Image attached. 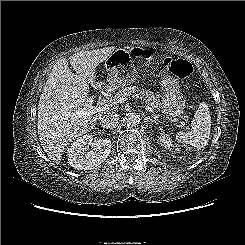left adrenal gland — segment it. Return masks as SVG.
Wrapping results in <instances>:
<instances>
[{"label":"left adrenal gland","mask_w":245,"mask_h":245,"mask_svg":"<svg viewBox=\"0 0 245 245\" xmlns=\"http://www.w3.org/2000/svg\"><path fill=\"white\" fill-rule=\"evenodd\" d=\"M144 120H146V121L149 120V121H151L152 123H154L156 125L158 124L157 121L155 119H153L152 117H150V116H146V117L144 116Z\"/></svg>","instance_id":"obj_1"}]
</instances>
